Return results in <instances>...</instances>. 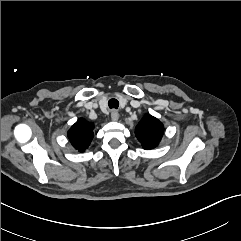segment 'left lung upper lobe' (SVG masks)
<instances>
[{"mask_svg": "<svg viewBox=\"0 0 241 241\" xmlns=\"http://www.w3.org/2000/svg\"><path fill=\"white\" fill-rule=\"evenodd\" d=\"M163 132V124L150 114H146L135 129L137 139L146 150L158 146Z\"/></svg>", "mask_w": 241, "mask_h": 241, "instance_id": "left-lung-upper-lobe-1", "label": "left lung upper lobe"}]
</instances>
